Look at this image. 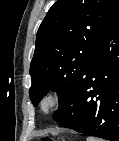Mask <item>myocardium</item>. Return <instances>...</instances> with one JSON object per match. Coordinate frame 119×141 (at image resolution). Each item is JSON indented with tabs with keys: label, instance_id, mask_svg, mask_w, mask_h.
<instances>
[{
	"label": "myocardium",
	"instance_id": "obj_1",
	"mask_svg": "<svg viewBox=\"0 0 119 141\" xmlns=\"http://www.w3.org/2000/svg\"><path fill=\"white\" fill-rule=\"evenodd\" d=\"M59 105V94L54 91H49L40 98L38 103V110L42 115L49 116L58 109Z\"/></svg>",
	"mask_w": 119,
	"mask_h": 141
}]
</instances>
